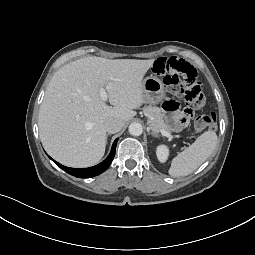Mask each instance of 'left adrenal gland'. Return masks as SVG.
I'll return each instance as SVG.
<instances>
[{"instance_id": "left-adrenal-gland-1", "label": "left adrenal gland", "mask_w": 255, "mask_h": 255, "mask_svg": "<svg viewBox=\"0 0 255 255\" xmlns=\"http://www.w3.org/2000/svg\"><path fill=\"white\" fill-rule=\"evenodd\" d=\"M149 134L153 135L154 137H158V135L155 134L154 132H149Z\"/></svg>"}]
</instances>
